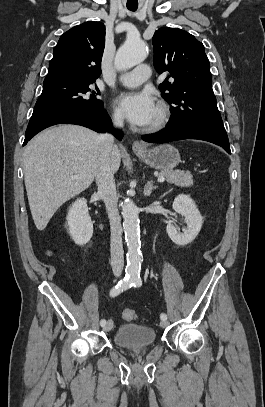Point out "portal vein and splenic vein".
Wrapping results in <instances>:
<instances>
[{"label": "portal vein and splenic vein", "instance_id": "1", "mask_svg": "<svg viewBox=\"0 0 265 407\" xmlns=\"http://www.w3.org/2000/svg\"><path fill=\"white\" fill-rule=\"evenodd\" d=\"M75 177H78V176H75ZM165 180V177L164 176H160L159 178H158V182H163Z\"/></svg>", "mask_w": 265, "mask_h": 407}]
</instances>
